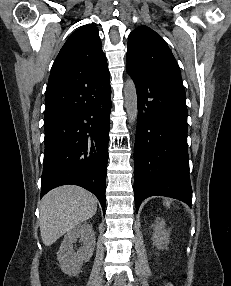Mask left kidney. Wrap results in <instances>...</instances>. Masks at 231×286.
<instances>
[{
  "instance_id": "left-kidney-1",
  "label": "left kidney",
  "mask_w": 231,
  "mask_h": 286,
  "mask_svg": "<svg viewBox=\"0 0 231 286\" xmlns=\"http://www.w3.org/2000/svg\"><path fill=\"white\" fill-rule=\"evenodd\" d=\"M165 224V220L158 217L156 224L152 225L154 231L152 235L153 244L159 249H164L169 243L170 232L164 229Z\"/></svg>"
}]
</instances>
